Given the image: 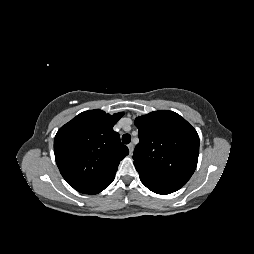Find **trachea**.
<instances>
[{
    "mask_svg": "<svg viewBox=\"0 0 254 254\" xmlns=\"http://www.w3.org/2000/svg\"><path fill=\"white\" fill-rule=\"evenodd\" d=\"M130 141H131V135H130V134H124V135L122 136V142H123L124 144L130 143Z\"/></svg>",
    "mask_w": 254,
    "mask_h": 254,
    "instance_id": "trachea-1",
    "label": "trachea"
}]
</instances>
